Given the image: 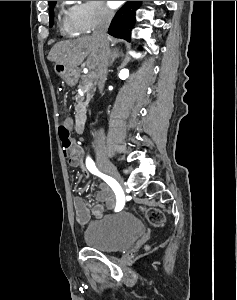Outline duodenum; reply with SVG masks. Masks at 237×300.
<instances>
[{"instance_id": "duodenum-1", "label": "duodenum", "mask_w": 237, "mask_h": 300, "mask_svg": "<svg viewBox=\"0 0 237 300\" xmlns=\"http://www.w3.org/2000/svg\"><path fill=\"white\" fill-rule=\"evenodd\" d=\"M87 125V115L86 112L81 110L77 113L75 117V129L77 133L83 134L86 130Z\"/></svg>"}]
</instances>
